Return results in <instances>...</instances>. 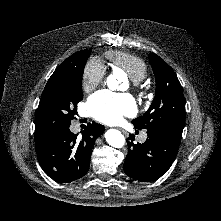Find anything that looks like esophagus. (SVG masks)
Listing matches in <instances>:
<instances>
[{"mask_svg": "<svg viewBox=\"0 0 221 221\" xmlns=\"http://www.w3.org/2000/svg\"><path fill=\"white\" fill-rule=\"evenodd\" d=\"M121 131L125 134L126 132L124 130L121 129Z\"/></svg>", "mask_w": 221, "mask_h": 221, "instance_id": "esophagus-1", "label": "esophagus"}]
</instances>
